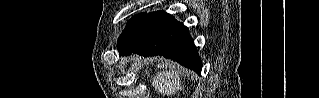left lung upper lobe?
Listing matches in <instances>:
<instances>
[{"mask_svg":"<svg viewBox=\"0 0 319 98\" xmlns=\"http://www.w3.org/2000/svg\"><path fill=\"white\" fill-rule=\"evenodd\" d=\"M145 16H146V13L136 15L127 23L124 31L120 35L118 42H117L118 50L122 46H124L131 39V37L135 34V32L137 31V29L141 25Z\"/></svg>","mask_w":319,"mask_h":98,"instance_id":"5c2ea615","label":"left lung upper lobe"}]
</instances>
